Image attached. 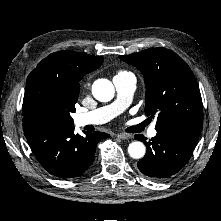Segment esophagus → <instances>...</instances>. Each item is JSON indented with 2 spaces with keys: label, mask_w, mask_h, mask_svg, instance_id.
<instances>
[{
  "label": "esophagus",
  "mask_w": 221,
  "mask_h": 221,
  "mask_svg": "<svg viewBox=\"0 0 221 221\" xmlns=\"http://www.w3.org/2000/svg\"><path fill=\"white\" fill-rule=\"evenodd\" d=\"M117 137L119 139L126 140V139H129L131 136L129 134H126V133H118Z\"/></svg>",
  "instance_id": "esophagus-1"
}]
</instances>
